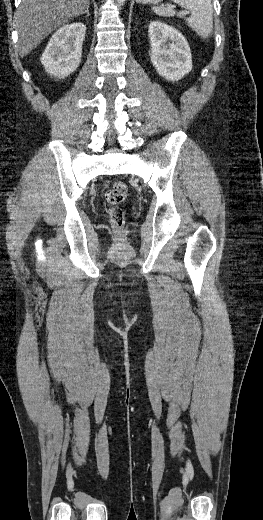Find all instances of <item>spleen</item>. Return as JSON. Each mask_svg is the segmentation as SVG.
<instances>
[{
	"label": "spleen",
	"instance_id": "obj_1",
	"mask_svg": "<svg viewBox=\"0 0 263 520\" xmlns=\"http://www.w3.org/2000/svg\"><path fill=\"white\" fill-rule=\"evenodd\" d=\"M181 7L191 11V16L186 18L191 27L201 38L207 39L213 30V6L211 0H172ZM156 15L172 17L175 11L169 7L155 6L152 8Z\"/></svg>",
	"mask_w": 263,
	"mask_h": 520
}]
</instances>
